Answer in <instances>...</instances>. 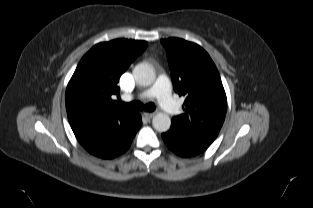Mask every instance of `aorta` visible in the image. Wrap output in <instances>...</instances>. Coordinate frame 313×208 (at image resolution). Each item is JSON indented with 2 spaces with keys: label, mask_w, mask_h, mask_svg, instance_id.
Wrapping results in <instances>:
<instances>
[{
  "label": "aorta",
  "mask_w": 313,
  "mask_h": 208,
  "mask_svg": "<svg viewBox=\"0 0 313 208\" xmlns=\"http://www.w3.org/2000/svg\"><path fill=\"white\" fill-rule=\"evenodd\" d=\"M135 81L141 86H150L155 80L154 69L145 63L138 64L133 69ZM153 128L158 132H166L170 129L171 119L168 114L159 112L152 120Z\"/></svg>",
  "instance_id": "aorta-1"
}]
</instances>
